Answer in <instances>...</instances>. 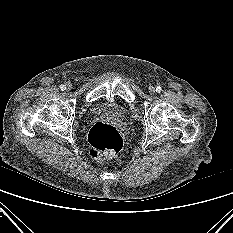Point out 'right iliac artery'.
Masks as SVG:
<instances>
[{
  "label": "right iliac artery",
  "mask_w": 233,
  "mask_h": 233,
  "mask_svg": "<svg viewBox=\"0 0 233 233\" xmlns=\"http://www.w3.org/2000/svg\"><path fill=\"white\" fill-rule=\"evenodd\" d=\"M60 89H61L62 91H64V90L66 89V86L62 84V85L60 86Z\"/></svg>",
  "instance_id": "obj_1"
}]
</instances>
